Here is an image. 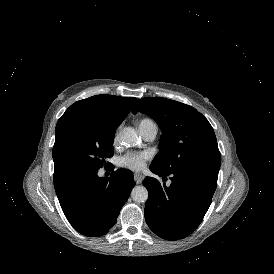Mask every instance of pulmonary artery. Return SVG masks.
<instances>
[{"label": "pulmonary artery", "mask_w": 274, "mask_h": 274, "mask_svg": "<svg viewBox=\"0 0 274 274\" xmlns=\"http://www.w3.org/2000/svg\"><path fill=\"white\" fill-rule=\"evenodd\" d=\"M138 129L141 137L148 142L155 139L158 131L156 124L151 120L140 122Z\"/></svg>", "instance_id": "e3ab8cb5"}]
</instances>
